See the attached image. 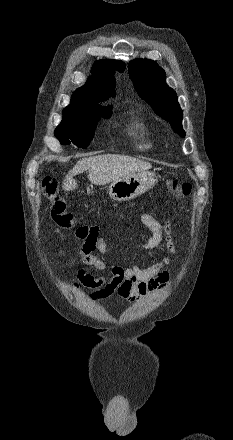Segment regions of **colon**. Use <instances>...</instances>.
<instances>
[{"mask_svg": "<svg viewBox=\"0 0 233 440\" xmlns=\"http://www.w3.org/2000/svg\"><path fill=\"white\" fill-rule=\"evenodd\" d=\"M172 194L176 197H187L192 190V184L179 178L169 181ZM41 191L44 196L52 200L51 216L57 227L61 229H71L79 221L72 212L67 210V202L59 190L56 178L46 177L41 184Z\"/></svg>", "mask_w": 233, "mask_h": 440, "instance_id": "1", "label": "colon"}]
</instances>
